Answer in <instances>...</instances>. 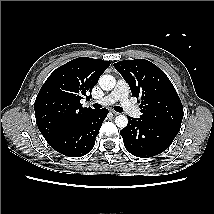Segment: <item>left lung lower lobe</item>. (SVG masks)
I'll list each match as a JSON object with an SVG mask.
<instances>
[{"mask_svg": "<svg viewBox=\"0 0 214 214\" xmlns=\"http://www.w3.org/2000/svg\"><path fill=\"white\" fill-rule=\"evenodd\" d=\"M128 125L120 131L124 146L136 157L147 158L166 150L179 129L159 125L140 118L128 117Z\"/></svg>", "mask_w": 214, "mask_h": 214, "instance_id": "0a47b994", "label": "left lung lower lobe"}]
</instances>
